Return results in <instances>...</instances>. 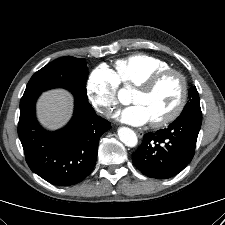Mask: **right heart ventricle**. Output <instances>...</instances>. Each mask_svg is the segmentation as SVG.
<instances>
[{
    "label": "right heart ventricle",
    "instance_id": "1",
    "mask_svg": "<svg viewBox=\"0 0 225 225\" xmlns=\"http://www.w3.org/2000/svg\"><path fill=\"white\" fill-rule=\"evenodd\" d=\"M169 67L168 63L158 58L145 54H133L116 61L114 74L118 83L136 86L152 74Z\"/></svg>",
    "mask_w": 225,
    "mask_h": 225
}]
</instances>
